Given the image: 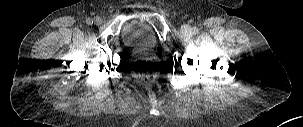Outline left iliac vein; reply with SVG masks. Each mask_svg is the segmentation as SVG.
<instances>
[{
  "mask_svg": "<svg viewBox=\"0 0 303 127\" xmlns=\"http://www.w3.org/2000/svg\"><path fill=\"white\" fill-rule=\"evenodd\" d=\"M181 30L185 34H191L192 33V29H191V27L189 25H183L181 27Z\"/></svg>",
  "mask_w": 303,
  "mask_h": 127,
  "instance_id": "obj_1",
  "label": "left iliac vein"
}]
</instances>
